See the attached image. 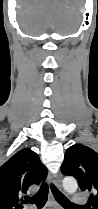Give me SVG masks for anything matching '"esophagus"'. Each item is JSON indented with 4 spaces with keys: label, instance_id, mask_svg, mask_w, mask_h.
<instances>
[{
    "label": "esophagus",
    "instance_id": "esophagus-1",
    "mask_svg": "<svg viewBox=\"0 0 98 209\" xmlns=\"http://www.w3.org/2000/svg\"><path fill=\"white\" fill-rule=\"evenodd\" d=\"M54 185L58 188V189H62V181H61V176L58 174L57 176L54 177Z\"/></svg>",
    "mask_w": 98,
    "mask_h": 209
}]
</instances>
